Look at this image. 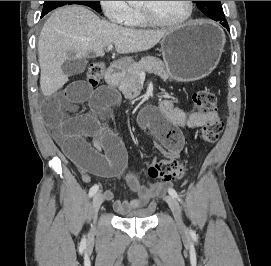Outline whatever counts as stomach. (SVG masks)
<instances>
[{
  "label": "stomach",
  "mask_w": 271,
  "mask_h": 266,
  "mask_svg": "<svg viewBox=\"0 0 271 266\" xmlns=\"http://www.w3.org/2000/svg\"><path fill=\"white\" fill-rule=\"evenodd\" d=\"M224 45V32L208 21H192L172 29L161 40L166 71L180 82L202 79L218 65Z\"/></svg>",
  "instance_id": "0dacf381"
}]
</instances>
